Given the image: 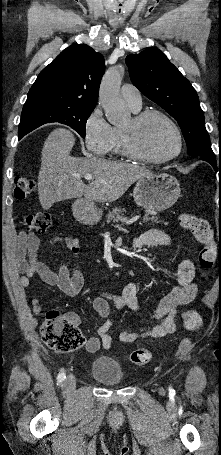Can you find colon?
Instances as JSON below:
<instances>
[{"label": "colon", "mask_w": 221, "mask_h": 455, "mask_svg": "<svg viewBox=\"0 0 221 455\" xmlns=\"http://www.w3.org/2000/svg\"><path fill=\"white\" fill-rule=\"evenodd\" d=\"M35 188L34 179L20 176L15 181L14 196L17 199H23L32 194ZM180 223L202 245L199 252V265L203 271H209L216 262L219 250L208 222L202 217L184 213L180 217ZM52 224V216L45 212L30 214L25 218L27 229L38 233H45L52 227ZM182 320L185 326L192 330H197L201 326V318L196 311L184 312ZM41 337L50 349L58 353L72 352L80 348L85 341L80 329L71 318L58 310L47 313L41 327ZM151 356L149 350L137 349L131 353L130 359L133 364L141 366L147 364Z\"/></svg>", "instance_id": "colon-1"}]
</instances>
